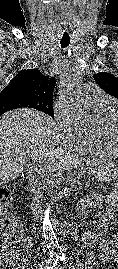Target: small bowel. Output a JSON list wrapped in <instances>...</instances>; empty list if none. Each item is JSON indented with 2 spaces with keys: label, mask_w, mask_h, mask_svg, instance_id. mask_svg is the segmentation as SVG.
I'll use <instances>...</instances> for the list:
<instances>
[{
  "label": "small bowel",
  "mask_w": 118,
  "mask_h": 269,
  "mask_svg": "<svg viewBox=\"0 0 118 269\" xmlns=\"http://www.w3.org/2000/svg\"><path fill=\"white\" fill-rule=\"evenodd\" d=\"M118 198V197H117ZM106 211L102 220L98 223V230L87 232L83 236V242L89 247L100 246L102 248V260L105 264L112 266L118 264V253L114 249L108 247L105 244L104 231L106 229V222L114 217L118 216V202L114 196L106 199ZM115 245H118V232L113 237ZM93 261V260H92ZM90 260L86 263L88 266L92 265ZM21 269H28L26 266H22Z\"/></svg>",
  "instance_id": "small-bowel-1"
}]
</instances>
